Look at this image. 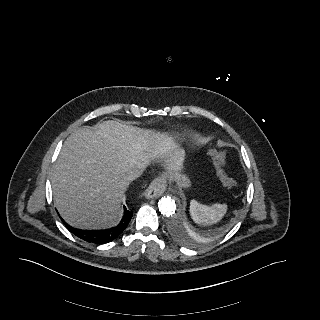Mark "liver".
Wrapping results in <instances>:
<instances>
[{
    "mask_svg": "<svg viewBox=\"0 0 320 320\" xmlns=\"http://www.w3.org/2000/svg\"><path fill=\"white\" fill-rule=\"evenodd\" d=\"M163 139L164 134L112 120L75 130L62 146L51 179L62 218L79 229L114 224L128 187L127 172L144 169L160 153Z\"/></svg>",
    "mask_w": 320,
    "mask_h": 320,
    "instance_id": "1",
    "label": "liver"
}]
</instances>
